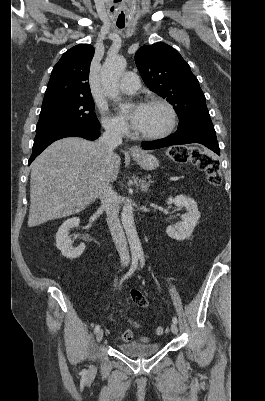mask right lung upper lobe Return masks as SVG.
Wrapping results in <instances>:
<instances>
[{
    "label": "right lung upper lobe",
    "instance_id": "right-lung-upper-lobe-1",
    "mask_svg": "<svg viewBox=\"0 0 265 401\" xmlns=\"http://www.w3.org/2000/svg\"><path fill=\"white\" fill-rule=\"evenodd\" d=\"M93 55L94 48L89 44H80L65 52L52 70L42 105L92 97L88 78Z\"/></svg>",
    "mask_w": 265,
    "mask_h": 401
}]
</instances>
